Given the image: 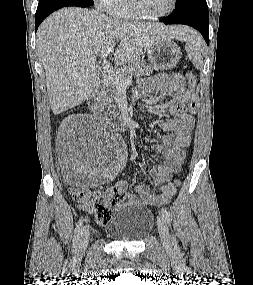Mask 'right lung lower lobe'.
<instances>
[{"label": "right lung lower lobe", "mask_w": 253, "mask_h": 285, "mask_svg": "<svg viewBox=\"0 0 253 285\" xmlns=\"http://www.w3.org/2000/svg\"><path fill=\"white\" fill-rule=\"evenodd\" d=\"M67 6H76V7H88L90 5L82 4V3H76V2H65V1H59V0H45L41 1L38 4V8L36 11L35 16V31H37L40 23L52 12L55 10L67 7Z\"/></svg>", "instance_id": "98d812e1"}]
</instances>
